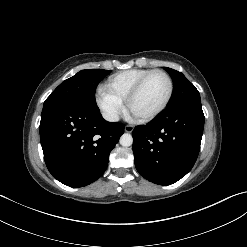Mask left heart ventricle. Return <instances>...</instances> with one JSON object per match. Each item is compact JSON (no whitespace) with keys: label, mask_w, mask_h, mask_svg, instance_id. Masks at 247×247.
<instances>
[{"label":"left heart ventricle","mask_w":247,"mask_h":247,"mask_svg":"<svg viewBox=\"0 0 247 247\" xmlns=\"http://www.w3.org/2000/svg\"><path fill=\"white\" fill-rule=\"evenodd\" d=\"M169 84L165 76L152 75L131 104V113L144 116L156 110L165 100Z\"/></svg>","instance_id":"obj_1"}]
</instances>
